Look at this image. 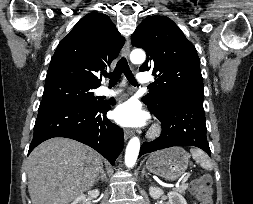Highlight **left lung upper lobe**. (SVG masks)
<instances>
[{"mask_svg": "<svg viewBox=\"0 0 253 204\" xmlns=\"http://www.w3.org/2000/svg\"><path fill=\"white\" fill-rule=\"evenodd\" d=\"M132 45L146 51L140 71H152L158 78L154 90L143 97L158 114L175 105L203 102L200 60L194 45L168 17L150 16L131 35Z\"/></svg>", "mask_w": 253, "mask_h": 204, "instance_id": "left-lung-upper-lobe-1", "label": "left lung upper lobe"}]
</instances>
